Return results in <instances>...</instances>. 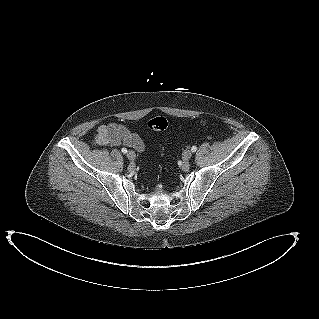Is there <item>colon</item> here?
<instances>
[{"mask_svg":"<svg viewBox=\"0 0 319 319\" xmlns=\"http://www.w3.org/2000/svg\"><path fill=\"white\" fill-rule=\"evenodd\" d=\"M199 124L202 126H207L209 123L205 120H202L199 122ZM147 125L151 130L162 131V130L167 128L168 122H167V119L165 117L157 116V117L150 119L148 121ZM211 127L213 129H216V128H218V125L216 123H212Z\"/></svg>","mask_w":319,"mask_h":319,"instance_id":"5ec220e1","label":"colon"}]
</instances>
